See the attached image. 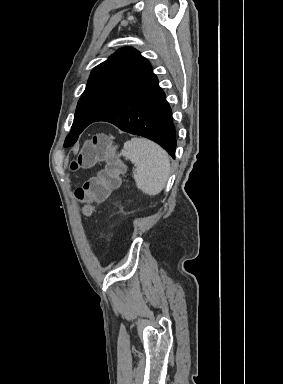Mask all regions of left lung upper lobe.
<instances>
[{
    "label": "left lung upper lobe",
    "mask_w": 283,
    "mask_h": 384,
    "mask_svg": "<svg viewBox=\"0 0 283 384\" xmlns=\"http://www.w3.org/2000/svg\"><path fill=\"white\" fill-rule=\"evenodd\" d=\"M152 74L150 63L130 47L117 50L108 60L96 66L78 102L64 146L73 145L92 121L117 105Z\"/></svg>",
    "instance_id": "obj_1"
}]
</instances>
